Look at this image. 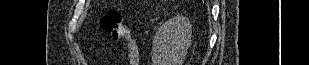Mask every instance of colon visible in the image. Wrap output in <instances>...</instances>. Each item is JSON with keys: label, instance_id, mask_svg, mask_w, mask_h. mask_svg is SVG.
<instances>
[{"label": "colon", "instance_id": "colon-1", "mask_svg": "<svg viewBox=\"0 0 309 65\" xmlns=\"http://www.w3.org/2000/svg\"><path fill=\"white\" fill-rule=\"evenodd\" d=\"M102 28L114 39H124L127 30L122 15L118 10H110L101 17Z\"/></svg>", "mask_w": 309, "mask_h": 65}]
</instances>
